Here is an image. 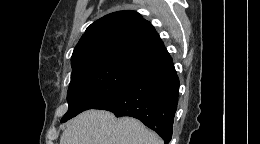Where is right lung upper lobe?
Segmentation results:
<instances>
[{"label": "right lung upper lobe", "instance_id": "1", "mask_svg": "<svg viewBox=\"0 0 260 144\" xmlns=\"http://www.w3.org/2000/svg\"><path fill=\"white\" fill-rule=\"evenodd\" d=\"M167 55L150 22L137 12L118 11L87 28L73 51L72 73L97 65L137 70Z\"/></svg>", "mask_w": 260, "mask_h": 144}]
</instances>
